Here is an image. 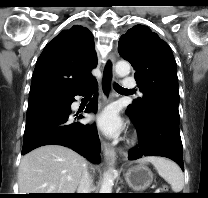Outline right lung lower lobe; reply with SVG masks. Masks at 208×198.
Returning <instances> with one entry per match:
<instances>
[{
	"label": "right lung lower lobe",
	"instance_id": "98d812e1",
	"mask_svg": "<svg viewBox=\"0 0 208 198\" xmlns=\"http://www.w3.org/2000/svg\"><path fill=\"white\" fill-rule=\"evenodd\" d=\"M90 90H95V94L85 112H96L98 84L95 78L68 98L29 106L21 154L25 155L40 146L55 144L69 147L91 162L99 163L101 147L96 126L73 121V117L80 119L83 116L79 112L73 115L71 111L74 97L85 95Z\"/></svg>",
	"mask_w": 208,
	"mask_h": 198
}]
</instances>
